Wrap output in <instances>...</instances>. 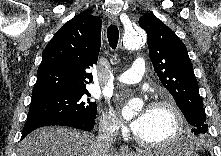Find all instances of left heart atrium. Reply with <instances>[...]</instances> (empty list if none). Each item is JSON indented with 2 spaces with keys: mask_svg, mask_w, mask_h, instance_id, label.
Returning a JSON list of instances; mask_svg holds the SVG:
<instances>
[{
  "mask_svg": "<svg viewBox=\"0 0 221 156\" xmlns=\"http://www.w3.org/2000/svg\"><path fill=\"white\" fill-rule=\"evenodd\" d=\"M149 108L142 110L130 123V126L134 132H137L143 126L147 116H148Z\"/></svg>",
  "mask_w": 221,
  "mask_h": 156,
  "instance_id": "1",
  "label": "left heart atrium"
}]
</instances>
